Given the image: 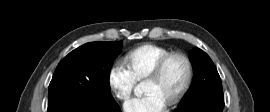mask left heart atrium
I'll list each match as a JSON object with an SVG mask.
<instances>
[{"instance_id": "left-heart-atrium-1", "label": "left heart atrium", "mask_w": 270, "mask_h": 112, "mask_svg": "<svg viewBox=\"0 0 270 112\" xmlns=\"http://www.w3.org/2000/svg\"><path fill=\"white\" fill-rule=\"evenodd\" d=\"M167 103L157 94L149 93L135 97L124 104L125 112H164Z\"/></svg>"}]
</instances>
